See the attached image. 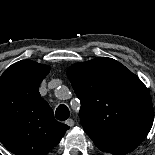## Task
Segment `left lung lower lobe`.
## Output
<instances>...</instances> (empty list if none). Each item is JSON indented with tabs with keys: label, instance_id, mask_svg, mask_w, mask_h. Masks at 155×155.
I'll return each instance as SVG.
<instances>
[{
	"label": "left lung lower lobe",
	"instance_id": "1",
	"mask_svg": "<svg viewBox=\"0 0 155 155\" xmlns=\"http://www.w3.org/2000/svg\"><path fill=\"white\" fill-rule=\"evenodd\" d=\"M143 137H128L110 142H94L95 145L102 151L114 155H125L132 152L143 141Z\"/></svg>",
	"mask_w": 155,
	"mask_h": 155
}]
</instances>
